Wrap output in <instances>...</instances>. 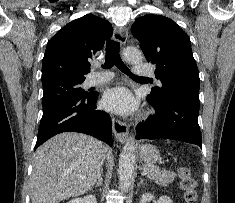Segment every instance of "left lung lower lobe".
Masks as SVG:
<instances>
[{
  "label": "left lung lower lobe",
  "mask_w": 235,
  "mask_h": 203,
  "mask_svg": "<svg viewBox=\"0 0 235 203\" xmlns=\"http://www.w3.org/2000/svg\"><path fill=\"white\" fill-rule=\"evenodd\" d=\"M156 114L137 125L136 138L174 139L198 145L202 148L201 132L198 125L199 95L176 92L162 101L148 96Z\"/></svg>",
  "instance_id": "1"
}]
</instances>
